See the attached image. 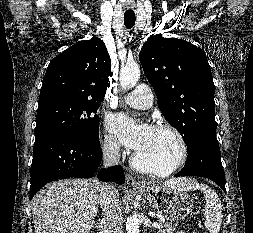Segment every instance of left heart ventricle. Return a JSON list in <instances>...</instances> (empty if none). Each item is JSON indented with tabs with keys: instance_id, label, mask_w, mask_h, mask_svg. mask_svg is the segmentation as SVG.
<instances>
[{
	"instance_id": "obj_1",
	"label": "left heart ventricle",
	"mask_w": 253,
	"mask_h": 233,
	"mask_svg": "<svg viewBox=\"0 0 253 233\" xmlns=\"http://www.w3.org/2000/svg\"><path fill=\"white\" fill-rule=\"evenodd\" d=\"M180 148L175 137L167 131L152 129L149 138L136 152L139 160L147 165L167 169L179 157Z\"/></svg>"
}]
</instances>
